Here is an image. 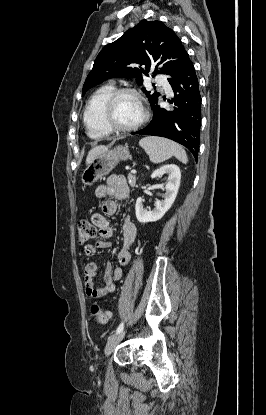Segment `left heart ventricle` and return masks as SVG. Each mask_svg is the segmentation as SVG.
<instances>
[{"label":"left heart ventricle","mask_w":266,"mask_h":415,"mask_svg":"<svg viewBox=\"0 0 266 415\" xmlns=\"http://www.w3.org/2000/svg\"><path fill=\"white\" fill-rule=\"evenodd\" d=\"M142 116V108L137 98L131 94L120 96L115 104L114 117L121 126H131Z\"/></svg>","instance_id":"obj_1"}]
</instances>
